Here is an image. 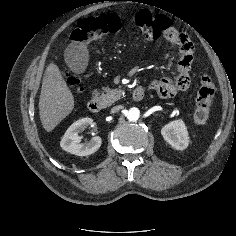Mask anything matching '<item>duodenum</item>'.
<instances>
[{"label":"duodenum","instance_id":"1","mask_svg":"<svg viewBox=\"0 0 236 236\" xmlns=\"http://www.w3.org/2000/svg\"><path fill=\"white\" fill-rule=\"evenodd\" d=\"M144 87H137L133 90L132 96L135 100H141L145 95ZM88 109L93 113H98L102 110V102L99 97L94 96L88 102Z\"/></svg>","mask_w":236,"mask_h":236}]
</instances>
